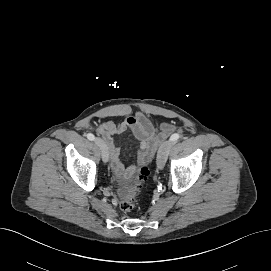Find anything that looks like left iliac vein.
I'll return each mask as SVG.
<instances>
[{"instance_id": "left-iliac-vein-1", "label": "left iliac vein", "mask_w": 271, "mask_h": 271, "mask_svg": "<svg viewBox=\"0 0 271 271\" xmlns=\"http://www.w3.org/2000/svg\"><path fill=\"white\" fill-rule=\"evenodd\" d=\"M171 147H172L171 141H165L161 144L157 154L158 169L162 170L164 168Z\"/></svg>"}]
</instances>
